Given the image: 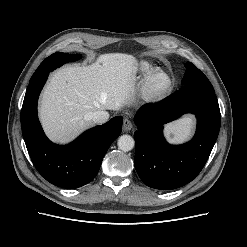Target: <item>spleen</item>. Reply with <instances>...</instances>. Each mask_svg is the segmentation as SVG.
I'll use <instances>...</instances> for the list:
<instances>
[{
	"mask_svg": "<svg viewBox=\"0 0 247 247\" xmlns=\"http://www.w3.org/2000/svg\"><path fill=\"white\" fill-rule=\"evenodd\" d=\"M193 129V119L185 117L166 126V136L173 143H180L189 138Z\"/></svg>",
	"mask_w": 247,
	"mask_h": 247,
	"instance_id": "3e777b00",
	"label": "spleen"
}]
</instances>
